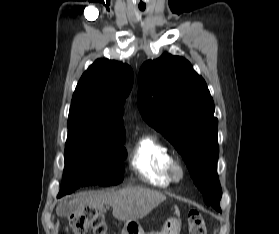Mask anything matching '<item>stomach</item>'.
<instances>
[{"label":"stomach","mask_w":279,"mask_h":234,"mask_svg":"<svg viewBox=\"0 0 279 234\" xmlns=\"http://www.w3.org/2000/svg\"><path fill=\"white\" fill-rule=\"evenodd\" d=\"M181 222L176 218H169L163 225L159 234H179ZM122 234H145L138 221H127L122 229Z\"/></svg>","instance_id":"1"}]
</instances>
